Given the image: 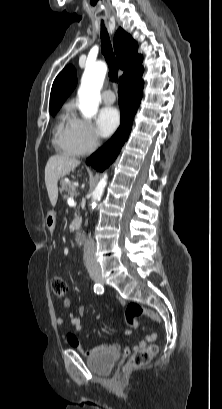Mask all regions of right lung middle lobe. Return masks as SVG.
<instances>
[{
    "instance_id": "1",
    "label": "right lung middle lobe",
    "mask_w": 222,
    "mask_h": 409,
    "mask_svg": "<svg viewBox=\"0 0 222 409\" xmlns=\"http://www.w3.org/2000/svg\"><path fill=\"white\" fill-rule=\"evenodd\" d=\"M57 111H51V114L54 116Z\"/></svg>"
}]
</instances>
